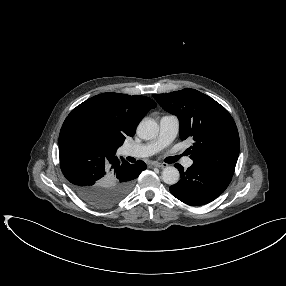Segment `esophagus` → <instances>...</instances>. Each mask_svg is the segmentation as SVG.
Returning a JSON list of instances; mask_svg holds the SVG:
<instances>
[{"label": "esophagus", "mask_w": 286, "mask_h": 286, "mask_svg": "<svg viewBox=\"0 0 286 286\" xmlns=\"http://www.w3.org/2000/svg\"><path fill=\"white\" fill-rule=\"evenodd\" d=\"M152 165L155 166V167H158V168H165V167H167V164L160 163V162H153Z\"/></svg>", "instance_id": "esophagus-1"}]
</instances>
